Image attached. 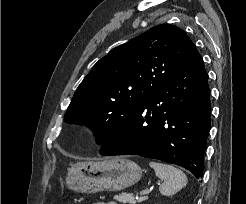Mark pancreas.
<instances>
[{
    "mask_svg": "<svg viewBox=\"0 0 246 204\" xmlns=\"http://www.w3.org/2000/svg\"><path fill=\"white\" fill-rule=\"evenodd\" d=\"M147 197H140L139 199L136 200V198L132 195V194H126V193H122L120 195H115L114 199L122 202L124 204H136V202H141L143 200H145Z\"/></svg>",
    "mask_w": 246,
    "mask_h": 204,
    "instance_id": "obj_1",
    "label": "pancreas"
}]
</instances>
